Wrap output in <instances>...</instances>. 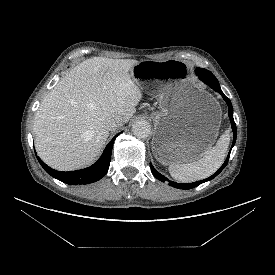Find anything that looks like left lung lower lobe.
<instances>
[{
	"label": "left lung lower lobe",
	"instance_id": "left-lung-lower-lobe-1",
	"mask_svg": "<svg viewBox=\"0 0 275 275\" xmlns=\"http://www.w3.org/2000/svg\"><path fill=\"white\" fill-rule=\"evenodd\" d=\"M196 74H197V76L199 77L200 80H202L204 83L208 84L216 92L220 93L222 95L223 99L226 101V103L228 105V115H229V118H230L232 130H233V144H232V147H233L234 144H235V141H236L237 128H236V124H235L234 119H233V107H232V104L230 102V99L227 98L224 95V93L222 92V90L220 88L218 80L216 79V77L210 71H208V70H206L204 68H198V69H196ZM232 147H231V149H232ZM230 153H231V150H230V152L228 154V157L226 158L225 162L217 170L216 173H214L212 176H210L207 179H204V180H201V181H197V182H194V183H189V184H186V183H176V182L168 180L165 176H163L162 174L158 173L154 169V167L152 166V164H150V168H151V171H152L153 175L158 180H160L162 182L168 181L170 186L178 188V189H191V188H194V187H196V186H198V185H200V184H202V183H204L206 181H209V180L213 179L214 177H216L222 171V169H224L226 167V165L228 163V160H229Z\"/></svg>",
	"mask_w": 275,
	"mask_h": 275
}]
</instances>
